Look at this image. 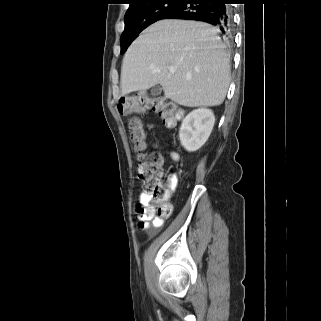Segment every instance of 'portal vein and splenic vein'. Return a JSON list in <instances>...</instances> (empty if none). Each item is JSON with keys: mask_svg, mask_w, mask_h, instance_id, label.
Here are the masks:
<instances>
[{"mask_svg": "<svg viewBox=\"0 0 321 321\" xmlns=\"http://www.w3.org/2000/svg\"><path fill=\"white\" fill-rule=\"evenodd\" d=\"M170 73L173 74V73H174V70H170Z\"/></svg>", "mask_w": 321, "mask_h": 321, "instance_id": "portal-vein-and-splenic-vein-1", "label": "portal vein and splenic vein"}]
</instances>
